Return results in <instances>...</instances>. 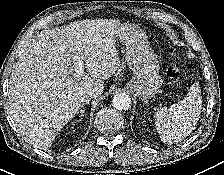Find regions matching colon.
I'll list each match as a JSON object with an SVG mask.
<instances>
[{"label":"colon","instance_id":"obj_1","mask_svg":"<svg viewBox=\"0 0 224 175\" xmlns=\"http://www.w3.org/2000/svg\"><path fill=\"white\" fill-rule=\"evenodd\" d=\"M166 75L171 80H179L182 76V72L177 64H173L167 69Z\"/></svg>","mask_w":224,"mask_h":175}]
</instances>
